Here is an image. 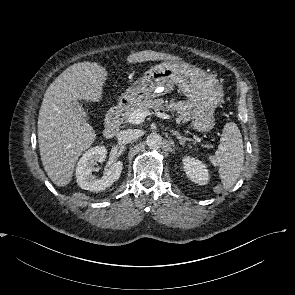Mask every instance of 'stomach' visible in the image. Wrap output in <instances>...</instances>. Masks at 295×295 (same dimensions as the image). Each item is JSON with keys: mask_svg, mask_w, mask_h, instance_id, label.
<instances>
[{"mask_svg": "<svg viewBox=\"0 0 295 295\" xmlns=\"http://www.w3.org/2000/svg\"><path fill=\"white\" fill-rule=\"evenodd\" d=\"M177 85L192 105V127L208 132L215 125L214 111L223 99L222 86L214 75L188 63L166 61L152 66L119 98L132 105L166 94Z\"/></svg>", "mask_w": 295, "mask_h": 295, "instance_id": "obj_1", "label": "stomach"}]
</instances>
